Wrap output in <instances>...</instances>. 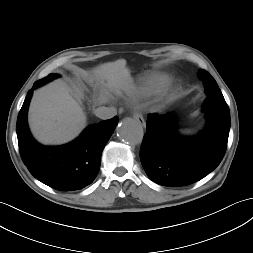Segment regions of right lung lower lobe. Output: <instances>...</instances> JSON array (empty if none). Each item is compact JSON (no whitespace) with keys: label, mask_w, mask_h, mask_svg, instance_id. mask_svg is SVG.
Instances as JSON below:
<instances>
[{"label":"right lung lower lobe","mask_w":253,"mask_h":253,"mask_svg":"<svg viewBox=\"0 0 253 253\" xmlns=\"http://www.w3.org/2000/svg\"><path fill=\"white\" fill-rule=\"evenodd\" d=\"M28 91L19 112L16 131L21 158L30 173L42 183L60 191H74L91 184L96 178L102 151L119 118L114 117L87 127L74 141L58 147L37 143L27 125V112L33 90Z\"/></svg>","instance_id":"right-lung-lower-lobe-1"}]
</instances>
